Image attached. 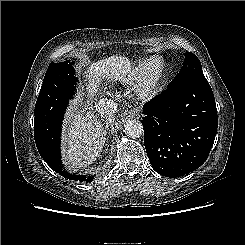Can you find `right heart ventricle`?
<instances>
[{"label":"right heart ventricle","instance_id":"obj_1","mask_svg":"<svg viewBox=\"0 0 245 245\" xmlns=\"http://www.w3.org/2000/svg\"><path fill=\"white\" fill-rule=\"evenodd\" d=\"M150 59H143L139 61L135 66H133L130 70L124 72L120 76H118V80L121 83H133L137 81L143 74Z\"/></svg>","mask_w":245,"mask_h":245}]
</instances>
